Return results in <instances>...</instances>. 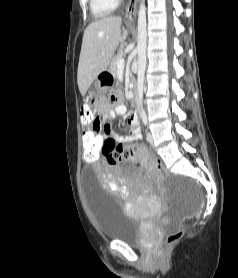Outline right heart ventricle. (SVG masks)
<instances>
[{"instance_id":"1","label":"right heart ventricle","mask_w":238,"mask_h":278,"mask_svg":"<svg viewBox=\"0 0 238 278\" xmlns=\"http://www.w3.org/2000/svg\"><path fill=\"white\" fill-rule=\"evenodd\" d=\"M118 0H89L90 10L95 18H104L117 7Z\"/></svg>"}]
</instances>
